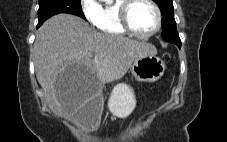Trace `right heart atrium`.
<instances>
[{
  "label": "right heart atrium",
  "instance_id": "d8ad5b80",
  "mask_svg": "<svg viewBox=\"0 0 227 142\" xmlns=\"http://www.w3.org/2000/svg\"><path fill=\"white\" fill-rule=\"evenodd\" d=\"M80 9L88 22L96 24L100 13V5L97 0H80Z\"/></svg>",
  "mask_w": 227,
  "mask_h": 142
}]
</instances>
